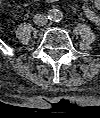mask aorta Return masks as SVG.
Here are the masks:
<instances>
[{
  "instance_id": "1",
  "label": "aorta",
  "mask_w": 100,
  "mask_h": 118,
  "mask_svg": "<svg viewBox=\"0 0 100 118\" xmlns=\"http://www.w3.org/2000/svg\"><path fill=\"white\" fill-rule=\"evenodd\" d=\"M48 18L54 22H59L63 18V14L60 10L58 9H51L48 12Z\"/></svg>"
}]
</instances>
